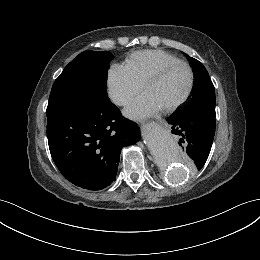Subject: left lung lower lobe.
Returning a JSON list of instances; mask_svg holds the SVG:
<instances>
[{
	"mask_svg": "<svg viewBox=\"0 0 260 260\" xmlns=\"http://www.w3.org/2000/svg\"><path fill=\"white\" fill-rule=\"evenodd\" d=\"M215 117V112L193 110L178 112L167 119L189 164L197 170H201L209 156L215 134Z\"/></svg>",
	"mask_w": 260,
	"mask_h": 260,
	"instance_id": "obj_1",
	"label": "left lung lower lobe"
}]
</instances>
